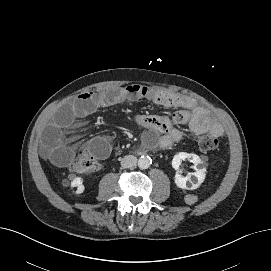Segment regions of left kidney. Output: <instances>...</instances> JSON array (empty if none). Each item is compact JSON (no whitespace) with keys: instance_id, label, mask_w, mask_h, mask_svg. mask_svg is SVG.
I'll list each match as a JSON object with an SVG mask.
<instances>
[{"instance_id":"obj_1","label":"left kidney","mask_w":271,"mask_h":271,"mask_svg":"<svg viewBox=\"0 0 271 271\" xmlns=\"http://www.w3.org/2000/svg\"><path fill=\"white\" fill-rule=\"evenodd\" d=\"M188 159L190 162L194 164V173H189L188 176L183 177L178 172L175 175V184L177 187L184 190H195L200 187V185L204 182L206 177V168H198V165L202 163L200 157L196 154H189L185 152L177 153L172 160V167L175 170L179 169V166L182 163V160ZM194 177V179L192 178Z\"/></svg>"}]
</instances>
